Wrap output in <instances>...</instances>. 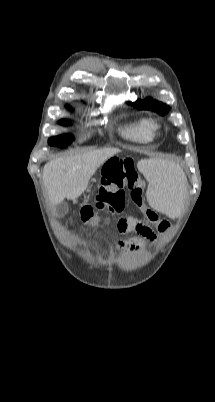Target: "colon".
<instances>
[{
  "mask_svg": "<svg viewBox=\"0 0 215 402\" xmlns=\"http://www.w3.org/2000/svg\"><path fill=\"white\" fill-rule=\"evenodd\" d=\"M102 186L96 197L95 206H85L80 211L81 220L93 226L101 223L97 211H106L109 215L120 212L124 208L125 193H129L133 203L140 208L146 219L152 222L160 233H166L170 224L162 220L158 214L144 204L143 192L145 183L134 165L133 156H109L104 161ZM139 220L134 217L121 218L119 230L135 228Z\"/></svg>",
  "mask_w": 215,
  "mask_h": 402,
  "instance_id": "5ec220e1",
  "label": "colon"
}]
</instances>
